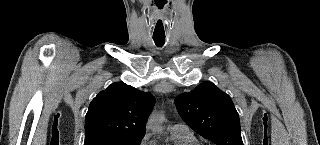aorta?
Returning a JSON list of instances; mask_svg holds the SVG:
<instances>
[{
	"label": "aorta",
	"mask_w": 320,
	"mask_h": 145,
	"mask_svg": "<svg viewBox=\"0 0 320 145\" xmlns=\"http://www.w3.org/2000/svg\"><path fill=\"white\" fill-rule=\"evenodd\" d=\"M162 120L163 116L161 113H154L149 119L148 128L153 132H160L162 130Z\"/></svg>",
	"instance_id": "1"
}]
</instances>
